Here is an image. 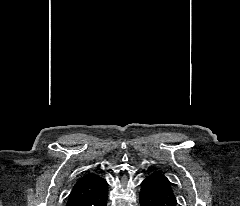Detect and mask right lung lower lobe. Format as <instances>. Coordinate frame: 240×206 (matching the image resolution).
I'll use <instances>...</instances> for the list:
<instances>
[{"mask_svg":"<svg viewBox=\"0 0 240 206\" xmlns=\"http://www.w3.org/2000/svg\"><path fill=\"white\" fill-rule=\"evenodd\" d=\"M107 193L106 184L96 194L77 202L73 206H107Z\"/></svg>","mask_w":240,"mask_h":206,"instance_id":"98d812e1","label":"right lung lower lobe"}]
</instances>
